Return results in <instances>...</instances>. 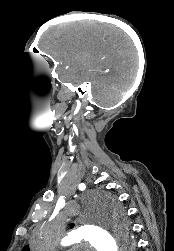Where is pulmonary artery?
I'll list each match as a JSON object with an SVG mask.
<instances>
[{"mask_svg": "<svg viewBox=\"0 0 174 251\" xmlns=\"http://www.w3.org/2000/svg\"><path fill=\"white\" fill-rule=\"evenodd\" d=\"M85 247H90L89 244H84Z\"/></svg>", "mask_w": 174, "mask_h": 251, "instance_id": "1", "label": "pulmonary artery"}]
</instances>
